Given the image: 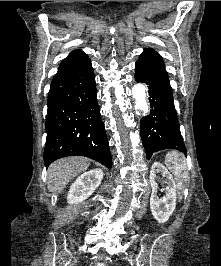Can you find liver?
Segmentation results:
<instances>
[{
	"label": "liver",
	"instance_id": "obj_1",
	"mask_svg": "<svg viewBox=\"0 0 221 266\" xmlns=\"http://www.w3.org/2000/svg\"><path fill=\"white\" fill-rule=\"evenodd\" d=\"M89 166L90 160L85 157H67L55 161L48 168V190L61 193L74 177Z\"/></svg>",
	"mask_w": 221,
	"mask_h": 266
}]
</instances>
